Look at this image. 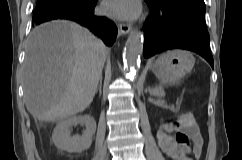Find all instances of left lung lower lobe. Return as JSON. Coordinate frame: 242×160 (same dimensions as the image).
Segmentation results:
<instances>
[{
  "instance_id": "1",
  "label": "left lung lower lobe",
  "mask_w": 242,
  "mask_h": 160,
  "mask_svg": "<svg viewBox=\"0 0 242 160\" xmlns=\"http://www.w3.org/2000/svg\"><path fill=\"white\" fill-rule=\"evenodd\" d=\"M145 1L151 9V16L143 26L145 58L168 49H185L201 55L213 67L205 13L172 12Z\"/></svg>"
}]
</instances>
